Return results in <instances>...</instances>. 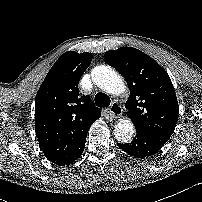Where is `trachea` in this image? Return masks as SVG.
<instances>
[{
  "label": "trachea",
  "instance_id": "1",
  "mask_svg": "<svg viewBox=\"0 0 202 202\" xmlns=\"http://www.w3.org/2000/svg\"><path fill=\"white\" fill-rule=\"evenodd\" d=\"M95 103L98 106H109L110 100L106 95L100 92V93H97L95 96Z\"/></svg>",
  "mask_w": 202,
  "mask_h": 202
}]
</instances>
